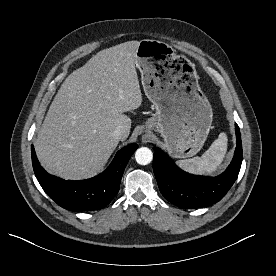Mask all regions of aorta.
<instances>
[{
  "instance_id": "1",
  "label": "aorta",
  "mask_w": 276,
  "mask_h": 276,
  "mask_svg": "<svg viewBox=\"0 0 276 276\" xmlns=\"http://www.w3.org/2000/svg\"><path fill=\"white\" fill-rule=\"evenodd\" d=\"M153 159L152 151L147 147H141L135 152V160L140 165H147Z\"/></svg>"
}]
</instances>
